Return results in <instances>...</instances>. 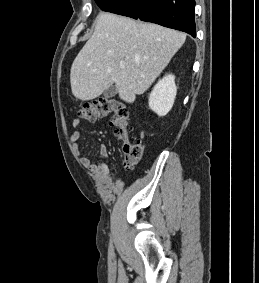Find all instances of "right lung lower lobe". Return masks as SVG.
Instances as JSON below:
<instances>
[{"label":"right lung lower lobe","mask_w":259,"mask_h":283,"mask_svg":"<svg viewBox=\"0 0 259 283\" xmlns=\"http://www.w3.org/2000/svg\"><path fill=\"white\" fill-rule=\"evenodd\" d=\"M104 11L184 31L195 37V0H95Z\"/></svg>","instance_id":"1"}]
</instances>
